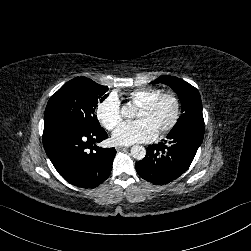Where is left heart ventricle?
Masks as SVG:
<instances>
[{
	"instance_id": "1",
	"label": "left heart ventricle",
	"mask_w": 251,
	"mask_h": 251,
	"mask_svg": "<svg viewBox=\"0 0 251 251\" xmlns=\"http://www.w3.org/2000/svg\"><path fill=\"white\" fill-rule=\"evenodd\" d=\"M175 115V103L172 99H164L154 110L148 111L142 107L137 113L136 120L151 119L158 128L168 124Z\"/></svg>"
}]
</instances>
